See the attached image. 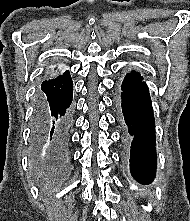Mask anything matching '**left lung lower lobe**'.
Here are the masks:
<instances>
[{
	"mask_svg": "<svg viewBox=\"0 0 190 221\" xmlns=\"http://www.w3.org/2000/svg\"><path fill=\"white\" fill-rule=\"evenodd\" d=\"M137 72L127 74L121 85V107L133 137L130 170L136 181L149 184L155 177L156 149L154 115L149 90Z\"/></svg>",
	"mask_w": 190,
	"mask_h": 221,
	"instance_id": "left-lung-lower-lobe-1",
	"label": "left lung lower lobe"
}]
</instances>
